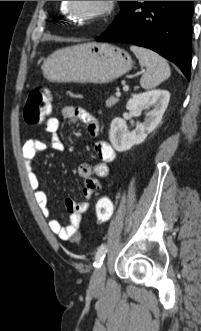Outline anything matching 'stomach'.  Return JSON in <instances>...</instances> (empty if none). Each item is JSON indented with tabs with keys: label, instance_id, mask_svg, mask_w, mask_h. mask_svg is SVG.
<instances>
[{
	"label": "stomach",
	"instance_id": "obj_1",
	"mask_svg": "<svg viewBox=\"0 0 201 331\" xmlns=\"http://www.w3.org/2000/svg\"><path fill=\"white\" fill-rule=\"evenodd\" d=\"M131 56L102 42H88L56 50L42 65L45 78L56 82L109 83L130 71Z\"/></svg>",
	"mask_w": 201,
	"mask_h": 331
}]
</instances>
